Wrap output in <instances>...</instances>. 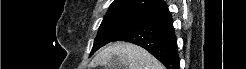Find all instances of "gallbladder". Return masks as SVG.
<instances>
[{
  "label": "gallbladder",
  "mask_w": 246,
  "mask_h": 69,
  "mask_svg": "<svg viewBox=\"0 0 246 69\" xmlns=\"http://www.w3.org/2000/svg\"><path fill=\"white\" fill-rule=\"evenodd\" d=\"M121 67L118 63V57L114 56L111 61L105 66L106 69H117Z\"/></svg>",
  "instance_id": "obj_1"
}]
</instances>
